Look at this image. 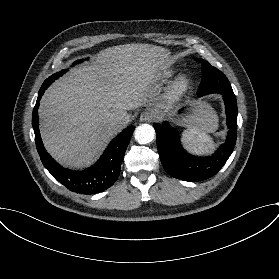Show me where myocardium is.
<instances>
[{
  "instance_id": "1",
  "label": "myocardium",
  "mask_w": 279,
  "mask_h": 279,
  "mask_svg": "<svg viewBox=\"0 0 279 279\" xmlns=\"http://www.w3.org/2000/svg\"><path fill=\"white\" fill-rule=\"evenodd\" d=\"M189 87V80L186 77L178 78L172 86V94L175 97L180 96Z\"/></svg>"
}]
</instances>
